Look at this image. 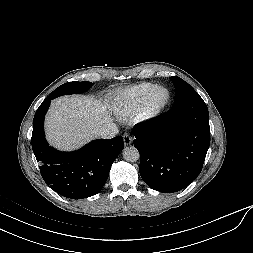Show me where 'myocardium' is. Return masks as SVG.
I'll return each mask as SVG.
<instances>
[{
	"mask_svg": "<svg viewBox=\"0 0 253 253\" xmlns=\"http://www.w3.org/2000/svg\"><path fill=\"white\" fill-rule=\"evenodd\" d=\"M159 91L166 93L165 99L160 103H155V95ZM171 102V93L164 86H155L145 98L140 110L138 111L137 119L141 122H151L160 118L167 110Z\"/></svg>",
	"mask_w": 253,
	"mask_h": 253,
	"instance_id": "myocardium-1",
	"label": "myocardium"
}]
</instances>
